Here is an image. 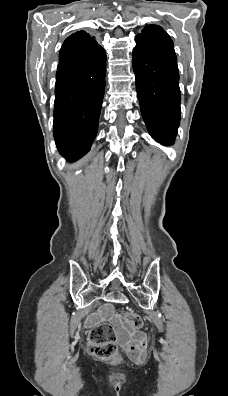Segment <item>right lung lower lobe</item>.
<instances>
[{"label":"right lung lower lobe","instance_id":"right-lung-lower-lobe-1","mask_svg":"<svg viewBox=\"0 0 228 396\" xmlns=\"http://www.w3.org/2000/svg\"><path fill=\"white\" fill-rule=\"evenodd\" d=\"M63 43L56 73L54 126L56 146L69 161L86 154L97 134L105 90L106 53L98 44L77 50Z\"/></svg>","mask_w":228,"mask_h":396}]
</instances>
